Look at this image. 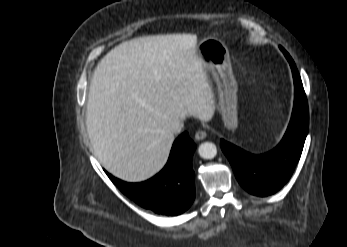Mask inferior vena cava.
<instances>
[{
    "label": "inferior vena cava",
    "mask_w": 347,
    "mask_h": 247,
    "mask_svg": "<svg viewBox=\"0 0 347 247\" xmlns=\"http://www.w3.org/2000/svg\"><path fill=\"white\" fill-rule=\"evenodd\" d=\"M168 131L172 134H178L181 131V125L178 121L173 122L169 128Z\"/></svg>",
    "instance_id": "obj_1"
}]
</instances>
